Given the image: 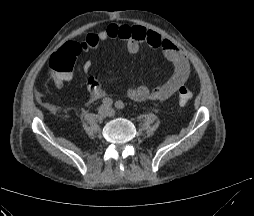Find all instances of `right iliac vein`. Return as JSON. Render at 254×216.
<instances>
[{"mask_svg": "<svg viewBox=\"0 0 254 216\" xmlns=\"http://www.w3.org/2000/svg\"><path fill=\"white\" fill-rule=\"evenodd\" d=\"M109 113V108L107 106H101L99 109H98V116L101 118V119H104Z\"/></svg>", "mask_w": 254, "mask_h": 216, "instance_id": "right-iliac-vein-1", "label": "right iliac vein"}]
</instances>
